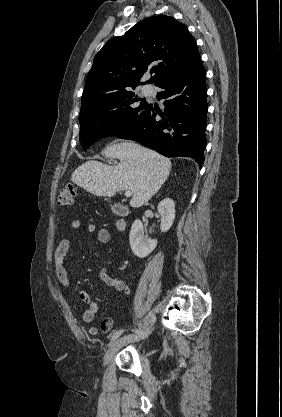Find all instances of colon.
Here are the masks:
<instances>
[{"label":"colon","instance_id":"5ec220e1","mask_svg":"<svg viewBox=\"0 0 282 417\" xmlns=\"http://www.w3.org/2000/svg\"><path fill=\"white\" fill-rule=\"evenodd\" d=\"M75 186L72 183L61 186L58 191L56 200L59 206L65 207L73 204L75 199Z\"/></svg>","mask_w":282,"mask_h":417}]
</instances>
